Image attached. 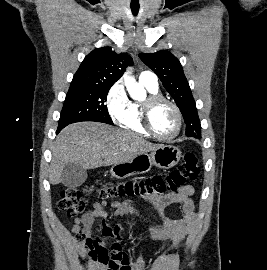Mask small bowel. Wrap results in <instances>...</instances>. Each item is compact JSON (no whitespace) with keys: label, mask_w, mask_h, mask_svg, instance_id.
Here are the masks:
<instances>
[{"label":"small bowel","mask_w":267,"mask_h":270,"mask_svg":"<svg viewBox=\"0 0 267 270\" xmlns=\"http://www.w3.org/2000/svg\"><path fill=\"white\" fill-rule=\"evenodd\" d=\"M193 188L185 186L177 192L159 197L151 196L150 201L158 212L159 220L153 214L143 213L139 208L114 201L111 207L115 210V215L119 217H128L130 214H137L144 217L149 223V234L147 241H170L173 243L180 242L192 229L195 222L194 203L192 200ZM107 203L105 201L95 202L92 208L83 216L76 217L72 225V231L75 233L86 232L91 233L93 224L96 220H104L107 218L105 210ZM171 205H179L183 213L181 218H172L167 215L166 211ZM119 228H111L104 226L102 229L103 238L112 240L110 258L118 259L121 255L127 257V270H146V261L143 256V248L140 249L138 255L129 261L127 254L123 251L119 242ZM170 265L169 257H157L152 261L154 270H161L164 266ZM108 268V266H106Z\"/></svg>","instance_id":"small-bowel-1"}]
</instances>
